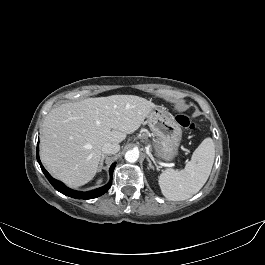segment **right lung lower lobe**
Masks as SVG:
<instances>
[{"instance_id":"obj_1","label":"right lung lower lobe","mask_w":265,"mask_h":265,"mask_svg":"<svg viewBox=\"0 0 265 265\" xmlns=\"http://www.w3.org/2000/svg\"><path fill=\"white\" fill-rule=\"evenodd\" d=\"M37 160H38V163L40 164V167H41L44 175L49 180L51 185L56 190L61 192L62 194L69 196V197H72V198H76V199H93V198L99 197V196L103 195L105 192H107L108 189L111 187L113 170H114L115 165H116V163H113L111 165L110 171H109L111 180L105 186L100 187V188L95 189V190H92V191H88V192H79V191L72 190V189L66 187L62 182L55 180L54 178L51 177V175L45 170V168L43 167V165L41 164V161L39 159V146H37Z\"/></svg>"}]
</instances>
